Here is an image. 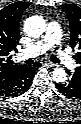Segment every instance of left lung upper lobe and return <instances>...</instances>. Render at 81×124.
Wrapping results in <instances>:
<instances>
[{
  "mask_svg": "<svg viewBox=\"0 0 81 124\" xmlns=\"http://www.w3.org/2000/svg\"><path fill=\"white\" fill-rule=\"evenodd\" d=\"M61 8L67 15L70 25V46L79 50L74 58L81 65V8L74 4H63ZM76 72L81 73V66L76 68Z\"/></svg>",
  "mask_w": 81,
  "mask_h": 124,
  "instance_id": "1",
  "label": "left lung upper lobe"
}]
</instances>
